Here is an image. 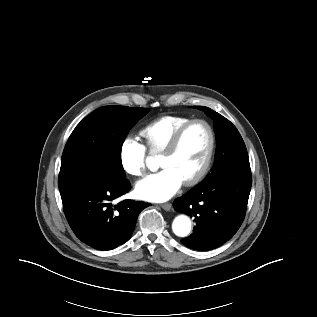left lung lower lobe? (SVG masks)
I'll return each instance as SVG.
<instances>
[{"label":"left lung lower lobe","instance_id":"obj_1","mask_svg":"<svg viewBox=\"0 0 317 317\" xmlns=\"http://www.w3.org/2000/svg\"><path fill=\"white\" fill-rule=\"evenodd\" d=\"M251 185V172L235 171L201 182L177 198L174 209L195 221L193 233L181 242L191 249L210 250L230 240L244 220Z\"/></svg>","mask_w":317,"mask_h":317}]
</instances>
